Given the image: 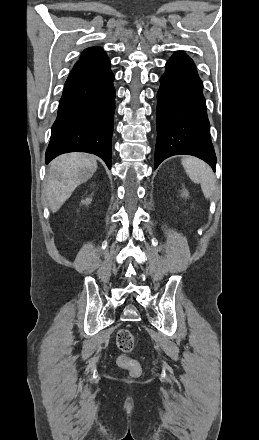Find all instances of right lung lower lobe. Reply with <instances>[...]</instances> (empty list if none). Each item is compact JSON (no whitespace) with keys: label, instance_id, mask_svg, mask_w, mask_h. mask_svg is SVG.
<instances>
[{"label":"right lung lower lobe","instance_id":"obj_1","mask_svg":"<svg viewBox=\"0 0 259 440\" xmlns=\"http://www.w3.org/2000/svg\"><path fill=\"white\" fill-rule=\"evenodd\" d=\"M113 80L106 54L75 64L65 82L52 126L46 164L60 154L76 151L101 157L111 169Z\"/></svg>","mask_w":259,"mask_h":440}]
</instances>
